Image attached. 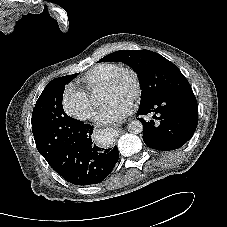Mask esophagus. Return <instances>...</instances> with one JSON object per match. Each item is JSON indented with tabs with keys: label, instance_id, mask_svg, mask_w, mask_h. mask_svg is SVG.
<instances>
[{
	"label": "esophagus",
	"instance_id": "34e87169",
	"mask_svg": "<svg viewBox=\"0 0 227 227\" xmlns=\"http://www.w3.org/2000/svg\"><path fill=\"white\" fill-rule=\"evenodd\" d=\"M116 130H118V127H111L110 128V131H115L116 132Z\"/></svg>",
	"mask_w": 227,
	"mask_h": 227
}]
</instances>
